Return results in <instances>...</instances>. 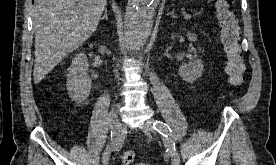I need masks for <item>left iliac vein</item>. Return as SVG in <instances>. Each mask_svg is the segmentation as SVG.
<instances>
[{
  "instance_id": "4c4485c4",
  "label": "left iliac vein",
  "mask_w": 276,
  "mask_h": 165,
  "mask_svg": "<svg viewBox=\"0 0 276 165\" xmlns=\"http://www.w3.org/2000/svg\"><path fill=\"white\" fill-rule=\"evenodd\" d=\"M142 128L145 131L156 132L153 127L152 119H148L147 121H145L144 124L142 125ZM170 156H171L172 165H180V157L176 149L170 152Z\"/></svg>"
}]
</instances>
